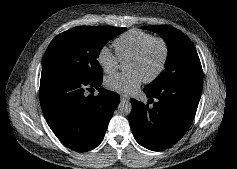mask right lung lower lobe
Here are the masks:
<instances>
[{"mask_svg": "<svg viewBox=\"0 0 237 169\" xmlns=\"http://www.w3.org/2000/svg\"><path fill=\"white\" fill-rule=\"evenodd\" d=\"M102 77L84 80L58 74H41L40 103L51 130L68 148L85 152L97 147L120 102L115 92L100 89L85 96V89L98 87Z\"/></svg>", "mask_w": 237, "mask_h": 169, "instance_id": "right-lung-lower-lobe-1", "label": "right lung lower lobe"}]
</instances>
